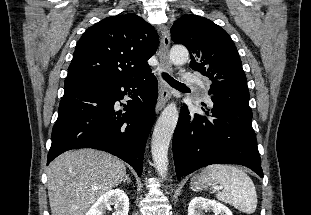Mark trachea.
<instances>
[{"label": "trachea", "mask_w": 311, "mask_h": 215, "mask_svg": "<svg viewBox=\"0 0 311 215\" xmlns=\"http://www.w3.org/2000/svg\"><path fill=\"white\" fill-rule=\"evenodd\" d=\"M162 76L172 87H175V88L185 87L183 83L176 81L171 76H169L167 73H163Z\"/></svg>", "instance_id": "obj_1"}]
</instances>
